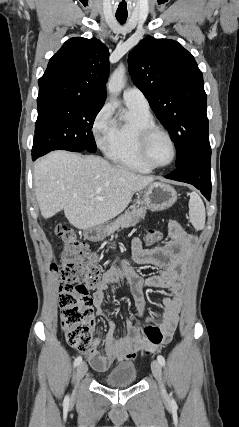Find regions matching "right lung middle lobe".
<instances>
[{"mask_svg":"<svg viewBox=\"0 0 239 427\" xmlns=\"http://www.w3.org/2000/svg\"><path fill=\"white\" fill-rule=\"evenodd\" d=\"M32 158L53 150L96 152L91 131L102 106L68 100H37Z\"/></svg>","mask_w":239,"mask_h":427,"instance_id":"1","label":"right lung middle lobe"}]
</instances>
